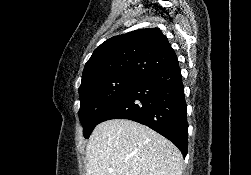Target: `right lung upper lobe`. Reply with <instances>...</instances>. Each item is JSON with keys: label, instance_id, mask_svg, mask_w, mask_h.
Here are the masks:
<instances>
[{"label": "right lung upper lobe", "instance_id": "right-lung-upper-lobe-1", "mask_svg": "<svg viewBox=\"0 0 251 175\" xmlns=\"http://www.w3.org/2000/svg\"><path fill=\"white\" fill-rule=\"evenodd\" d=\"M177 65L175 51L159 28L139 29L97 47L84 66L80 88L119 76L143 79Z\"/></svg>", "mask_w": 251, "mask_h": 175}]
</instances>
